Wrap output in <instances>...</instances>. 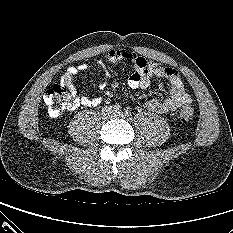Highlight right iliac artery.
I'll list each match as a JSON object with an SVG mask.
<instances>
[{
	"instance_id": "1",
	"label": "right iliac artery",
	"mask_w": 233,
	"mask_h": 233,
	"mask_svg": "<svg viewBox=\"0 0 233 233\" xmlns=\"http://www.w3.org/2000/svg\"><path fill=\"white\" fill-rule=\"evenodd\" d=\"M115 112H120L121 111V106L120 105H114L113 107Z\"/></svg>"
}]
</instances>
